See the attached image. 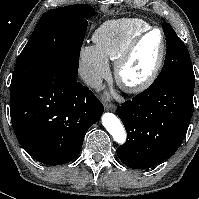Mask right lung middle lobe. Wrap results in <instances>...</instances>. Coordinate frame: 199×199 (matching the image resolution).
Returning a JSON list of instances; mask_svg holds the SVG:
<instances>
[{
  "instance_id": "dd1d6c3e",
  "label": "right lung middle lobe",
  "mask_w": 199,
  "mask_h": 199,
  "mask_svg": "<svg viewBox=\"0 0 199 199\" xmlns=\"http://www.w3.org/2000/svg\"><path fill=\"white\" fill-rule=\"evenodd\" d=\"M95 14L94 9L86 4L45 12L17 59L10 90L54 68L76 77L88 25L86 19Z\"/></svg>"
}]
</instances>
